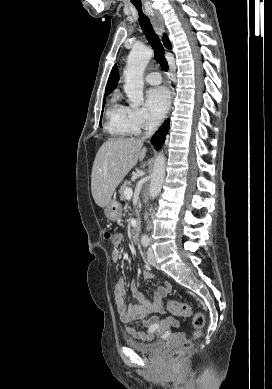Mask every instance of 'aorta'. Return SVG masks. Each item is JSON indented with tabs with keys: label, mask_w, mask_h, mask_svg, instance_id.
<instances>
[{
	"label": "aorta",
	"mask_w": 272,
	"mask_h": 389,
	"mask_svg": "<svg viewBox=\"0 0 272 389\" xmlns=\"http://www.w3.org/2000/svg\"><path fill=\"white\" fill-rule=\"evenodd\" d=\"M153 55V51L144 46H135L130 51L127 58V65L124 70L125 85L124 91L128 100L134 105L139 106L143 103V74L144 70ZM165 178V156L159 153L155 159L154 169L149 186V196L155 198L161 191ZM148 236L143 235L142 242L148 241Z\"/></svg>",
	"instance_id": "obj_1"
}]
</instances>
